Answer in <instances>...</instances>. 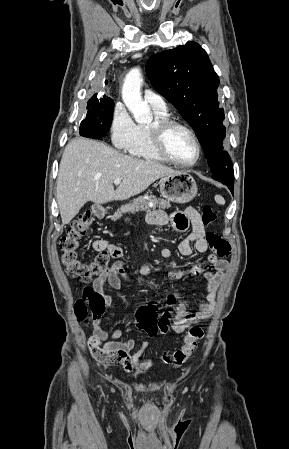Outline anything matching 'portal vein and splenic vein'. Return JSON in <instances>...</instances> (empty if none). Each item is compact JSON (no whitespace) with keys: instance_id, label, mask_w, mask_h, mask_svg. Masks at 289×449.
I'll return each instance as SVG.
<instances>
[{"instance_id":"obj_1","label":"portal vein and splenic vein","mask_w":289,"mask_h":449,"mask_svg":"<svg viewBox=\"0 0 289 449\" xmlns=\"http://www.w3.org/2000/svg\"><path fill=\"white\" fill-rule=\"evenodd\" d=\"M121 182H122L121 178H117V179L114 180V184L115 185H119Z\"/></svg>"}]
</instances>
